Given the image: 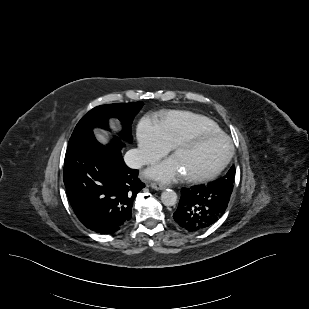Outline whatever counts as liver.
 Instances as JSON below:
<instances>
[{
  "label": "liver",
  "mask_w": 309,
  "mask_h": 309,
  "mask_svg": "<svg viewBox=\"0 0 309 309\" xmlns=\"http://www.w3.org/2000/svg\"><path fill=\"white\" fill-rule=\"evenodd\" d=\"M95 135H96V138L98 139L99 142H101L103 144L107 143L108 138H107V135L104 132L96 130Z\"/></svg>",
  "instance_id": "obj_1"
}]
</instances>
